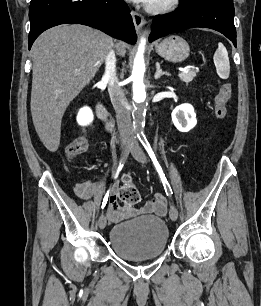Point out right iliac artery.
<instances>
[{
	"instance_id": "right-iliac-artery-1",
	"label": "right iliac artery",
	"mask_w": 261,
	"mask_h": 306,
	"mask_svg": "<svg viewBox=\"0 0 261 306\" xmlns=\"http://www.w3.org/2000/svg\"><path fill=\"white\" fill-rule=\"evenodd\" d=\"M122 167H123V164H121V161H120V164H119V166H118V169H117L115 178L118 177V174H119V172L121 171ZM108 197H109V190L107 191V193H106L105 196H104V199H103V202H102V206H101L102 209H104V207L106 206L107 201H108Z\"/></svg>"
}]
</instances>
